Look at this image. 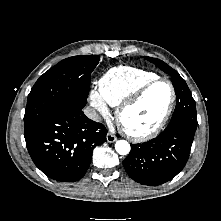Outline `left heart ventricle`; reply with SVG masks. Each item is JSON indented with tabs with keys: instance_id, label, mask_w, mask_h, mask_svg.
Here are the masks:
<instances>
[{
	"instance_id": "b2bd125f",
	"label": "left heart ventricle",
	"mask_w": 221,
	"mask_h": 221,
	"mask_svg": "<svg viewBox=\"0 0 221 221\" xmlns=\"http://www.w3.org/2000/svg\"><path fill=\"white\" fill-rule=\"evenodd\" d=\"M171 98V89L161 82L151 87L142 100L128 109L123 120L125 125L137 132L152 129L164 115Z\"/></svg>"
}]
</instances>
